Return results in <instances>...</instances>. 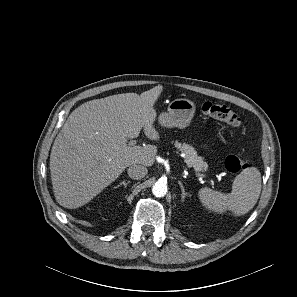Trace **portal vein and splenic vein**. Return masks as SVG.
Returning <instances> with one entry per match:
<instances>
[{"mask_svg": "<svg viewBox=\"0 0 297 297\" xmlns=\"http://www.w3.org/2000/svg\"><path fill=\"white\" fill-rule=\"evenodd\" d=\"M136 144V141H134V140H132V141H130L129 142V146H134ZM196 175L198 176V177H201V178H204V177H206V174H203V173H196Z\"/></svg>", "mask_w": 297, "mask_h": 297, "instance_id": "1", "label": "portal vein and splenic vein"}]
</instances>
